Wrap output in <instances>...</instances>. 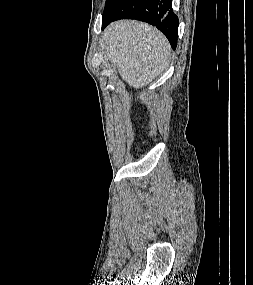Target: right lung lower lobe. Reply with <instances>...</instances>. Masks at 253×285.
<instances>
[{"label": "right lung lower lobe", "instance_id": "obj_1", "mask_svg": "<svg viewBox=\"0 0 253 285\" xmlns=\"http://www.w3.org/2000/svg\"><path fill=\"white\" fill-rule=\"evenodd\" d=\"M172 0H114L102 16V29L118 19H137L156 26L177 46L178 17L171 7Z\"/></svg>", "mask_w": 253, "mask_h": 285}]
</instances>
